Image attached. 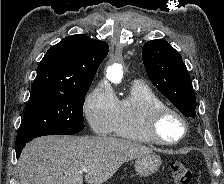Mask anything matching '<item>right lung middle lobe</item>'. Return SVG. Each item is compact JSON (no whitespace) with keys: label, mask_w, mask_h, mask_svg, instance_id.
<instances>
[{"label":"right lung middle lobe","mask_w":224,"mask_h":184,"mask_svg":"<svg viewBox=\"0 0 224 184\" xmlns=\"http://www.w3.org/2000/svg\"><path fill=\"white\" fill-rule=\"evenodd\" d=\"M88 87L31 89L15 145L41 136L70 135L81 131Z\"/></svg>","instance_id":"right-lung-middle-lobe-1"}]
</instances>
